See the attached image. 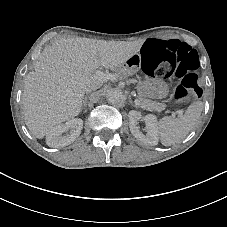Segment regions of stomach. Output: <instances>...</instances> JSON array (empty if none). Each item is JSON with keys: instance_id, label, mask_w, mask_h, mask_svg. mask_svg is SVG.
<instances>
[{"instance_id": "stomach-1", "label": "stomach", "mask_w": 227, "mask_h": 227, "mask_svg": "<svg viewBox=\"0 0 227 227\" xmlns=\"http://www.w3.org/2000/svg\"><path fill=\"white\" fill-rule=\"evenodd\" d=\"M147 83L148 81H144L143 83L140 84L139 86V91L140 94L144 95V96H148L149 95V90L147 88Z\"/></svg>"}]
</instances>
